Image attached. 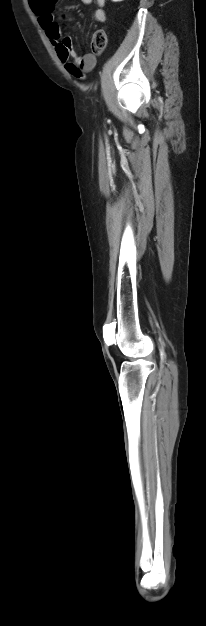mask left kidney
I'll return each mask as SVG.
<instances>
[{
    "label": "left kidney",
    "instance_id": "5707ae66",
    "mask_svg": "<svg viewBox=\"0 0 206 626\" xmlns=\"http://www.w3.org/2000/svg\"><path fill=\"white\" fill-rule=\"evenodd\" d=\"M112 2H121L123 0H111Z\"/></svg>",
    "mask_w": 206,
    "mask_h": 626
}]
</instances>
